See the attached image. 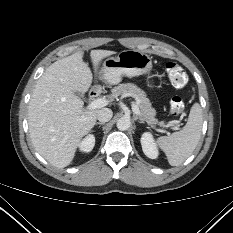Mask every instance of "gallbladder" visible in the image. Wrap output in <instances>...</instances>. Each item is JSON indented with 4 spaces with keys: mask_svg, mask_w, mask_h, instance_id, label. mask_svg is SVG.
<instances>
[{
    "mask_svg": "<svg viewBox=\"0 0 233 233\" xmlns=\"http://www.w3.org/2000/svg\"><path fill=\"white\" fill-rule=\"evenodd\" d=\"M75 94H76L78 97H83V93H81V92H75Z\"/></svg>",
    "mask_w": 233,
    "mask_h": 233,
    "instance_id": "1",
    "label": "gallbladder"
}]
</instances>
